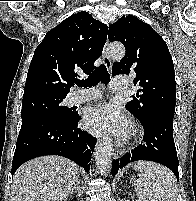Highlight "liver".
<instances>
[{
  "label": "liver",
  "instance_id": "liver-1",
  "mask_svg": "<svg viewBox=\"0 0 196 201\" xmlns=\"http://www.w3.org/2000/svg\"><path fill=\"white\" fill-rule=\"evenodd\" d=\"M77 172V165L61 156L32 159L13 176V201H66Z\"/></svg>",
  "mask_w": 196,
  "mask_h": 201
}]
</instances>
